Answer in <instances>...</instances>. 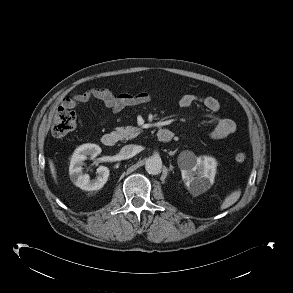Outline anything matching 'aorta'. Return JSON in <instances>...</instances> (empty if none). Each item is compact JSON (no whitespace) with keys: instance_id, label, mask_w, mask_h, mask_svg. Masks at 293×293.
I'll return each mask as SVG.
<instances>
[{"instance_id":"obj_1","label":"aorta","mask_w":293,"mask_h":293,"mask_svg":"<svg viewBox=\"0 0 293 293\" xmlns=\"http://www.w3.org/2000/svg\"><path fill=\"white\" fill-rule=\"evenodd\" d=\"M145 169L151 175H157L161 173L162 161L158 156H151L146 159Z\"/></svg>"}]
</instances>
